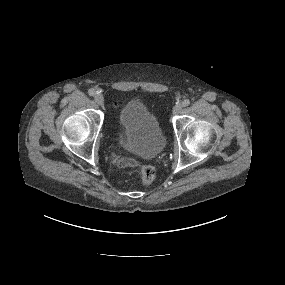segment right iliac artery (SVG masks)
<instances>
[{
	"instance_id": "82829eb1",
	"label": "right iliac artery",
	"mask_w": 285,
	"mask_h": 285,
	"mask_svg": "<svg viewBox=\"0 0 285 285\" xmlns=\"http://www.w3.org/2000/svg\"><path fill=\"white\" fill-rule=\"evenodd\" d=\"M88 93H89L90 96H94V95L96 94L95 91H94V89H90V90L88 91Z\"/></svg>"
}]
</instances>
